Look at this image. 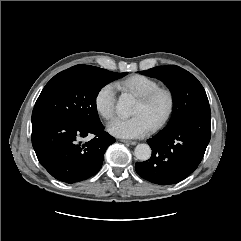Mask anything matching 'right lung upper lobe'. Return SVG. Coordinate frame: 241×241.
<instances>
[{
    "mask_svg": "<svg viewBox=\"0 0 241 241\" xmlns=\"http://www.w3.org/2000/svg\"><path fill=\"white\" fill-rule=\"evenodd\" d=\"M89 65H76V66H73L72 68H77V69H84V68H87Z\"/></svg>",
    "mask_w": 241,
    "mask_h": 241,
    "instance_id": "obj_1",
    "label": "right lung upper lobe"
}]
</instances>
